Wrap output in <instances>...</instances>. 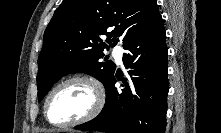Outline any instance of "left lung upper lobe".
Wrapping results in <instances>:
<instances>
[{"mask_svg":"<svg viewBox=\"0 0 221 133\" xmlns=\"http://www.w3.org/2000/svg\"><path fill=\"white\" fill-rule=\"evenodd\" d=\"M159 17L156 0H63L45 30L38 58L39 100L69 73H88L106 86L115 65L99 61L103 50L119 38L125 45Z\"/></svg>","mask_w":221,"mask_h":133,"instance_id":"1","label":"left lung upper lobe"}]
</instances>
